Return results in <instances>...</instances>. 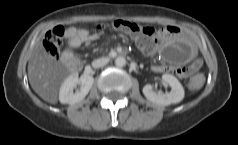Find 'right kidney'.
Instances as JSON below:
<instances>
[{"mask_svg": "<svg viewBox=\"0 0 238 145\" xmlns=\"http://www.w3.org/2000/svg\"><path fill=\"white\" fill-rule=\"evenodd\" d=\"M94 82V78L91 75L83 74L78 77L77 73L69 75L62 83L59 91V100L62 104L74 105L82 101L89 93ZM80 85V89L75 93L74 88Z\"/></svg>", "mask_w": 238, "mask_h": 145, "instance_id": "right-kidney-1", "label": "right kidney"}]
</instances>
